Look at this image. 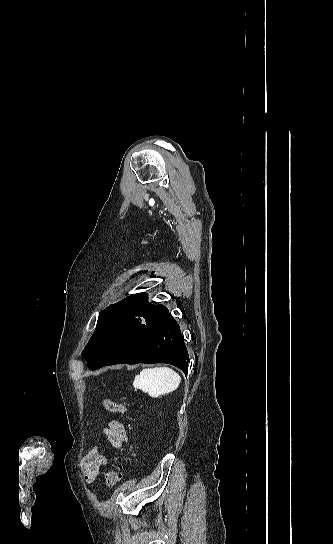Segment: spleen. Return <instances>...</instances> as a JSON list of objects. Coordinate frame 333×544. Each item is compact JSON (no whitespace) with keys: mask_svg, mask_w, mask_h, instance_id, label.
I'll list each match as a JSON object with an SVG mask.
<instances>
[{"mask_svg":"<svg viewBox=\"0 0 333 544\" xmlns=\"http://www.w3.org/2000/svg\"><path fill=\"white\" fill-rule=\"evenodd\" d=\"M180 382L181 377L173 369L155 367L143 369L139 375H136L133 386L157 398L175 391Z\"/></svg>","mask_w":333,"mask_h":544,"instance_id":"obj_1","label":"spleen"}]
</instances>
